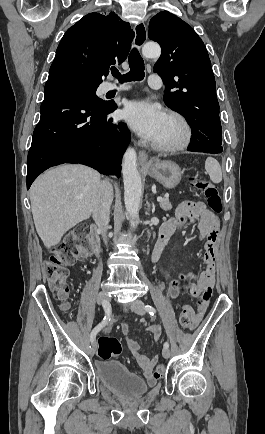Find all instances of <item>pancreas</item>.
Listing matches in <instances>:
<instances>
[{
  "instance_id": "cf45deb5",
  "label": "pancreas",
  "mask_w": 265,
  "mask_h": 434,
  "mask_svg": "<svg viewBox=\"0 0 265 434\" xmlns=\"http://www.w3.org/2000/svg\"><path fill=\"white\" fill-rule=\"evenodd\" d=\"M160 208H162V210H166V212L171 210L172 204L169 202L168 198H163L162 202H160Z\"/></svg>"
}]
</instances>
